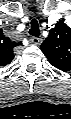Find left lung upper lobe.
<instances>
[{
  "mask_svg": "<svg viewBox=\"0 0 71 119\" xmlns=\"http://www.w3.org/2000/svg\"><path fill=\"white\" fill-rule=\"evenodd\" d=\"M41 50L51 65L62 71H70L71 28L63 21L57 22L42 43Z\"/></svg>",
  "mask_w": 71,
  "mask_h": 119,
  "instance_id": "left-lung-upper-lobe-1",
  "label": "left lung upper lobe"
}]
</instances>
